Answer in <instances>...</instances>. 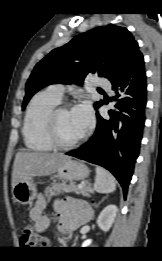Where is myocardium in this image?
Listing matches in <instances>:
<instances>
[{
  "mask_svg": "<svg viewBox=\"0 0 162 261\" xmlns=\"http://www.w3.org/2000/svg\"><path fill=\"white\" fill-rule=\"evenodd\" d=\"M69 110L68 104H58L55 106L47 115L45 121L46 134L53 147L63 150L72 149L78 146L86 137V132H84L79 138L72 142H64L58 136L57 131V118L60 112Z\"/></svg>",
  "mask_w": 162,
  "mask_h": 261,
  "instance_id": "myocardium-1",
  "label": "myocardium"
}]
</instances>
